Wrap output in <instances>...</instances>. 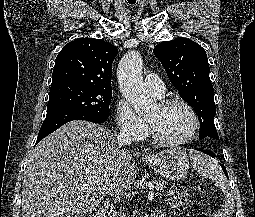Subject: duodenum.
<instances>
[{
  "label": "duodenum",
  "instance_id": "duodenum-1",
  "mask_svg": "<svg viewBox=\"0 0 255 217\" xmlns=\"http://www.w3.org/2000/svg\"><path fill=\"white\" fill-rule=\"evenodd\" d=\"M91 217H107V211L106 209H99L96 212H94Z\"/></svg>",
  "mask_w": 255,
  "mask_h": 217
}]
</instances>
